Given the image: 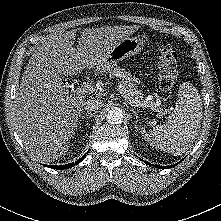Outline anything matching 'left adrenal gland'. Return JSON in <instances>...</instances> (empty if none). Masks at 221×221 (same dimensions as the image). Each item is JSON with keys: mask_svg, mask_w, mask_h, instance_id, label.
Here are the masks:
<instances>
[{"mask_svg": "<svg viewBox=\"0 0 221 221\" xmlns=\"http://www.w3.org/2000/svg\"><path fill=\"white\" fill-rule=\"evenodd\" d=\"M131 111H132V113L134 114V116L136 117V124H137V122H138V114H137V112L136 111H134L133 109H131ZM136 128H138L137 126H136Z\"/></svg>", "mask_w": 221, "mask_h": 221, "instance_id": "obj_1", "label": "left adrenal gland"}]
</instances>
